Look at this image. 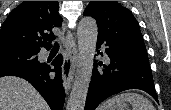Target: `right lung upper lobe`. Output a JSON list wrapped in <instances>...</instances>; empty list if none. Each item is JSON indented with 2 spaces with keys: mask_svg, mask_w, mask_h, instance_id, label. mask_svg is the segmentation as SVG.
<instances>
[{
  "mask_svg": "<svg viewBox=\"0 0 171 110\" xmlns=\"http://www.w3.org/2000/svg\"><path fill=\"white\" fill-rule=\"evenodd\" d=\"M58 1H24L11 11L0 31V48H24L40 51L51 48L53 27L62 18Z\"/></svg>",
  "mask_w": 171,
  "mask_h": 110,
  "instance_id": "1",
  "label": "right lung upper lobe"
}]
</instances>
